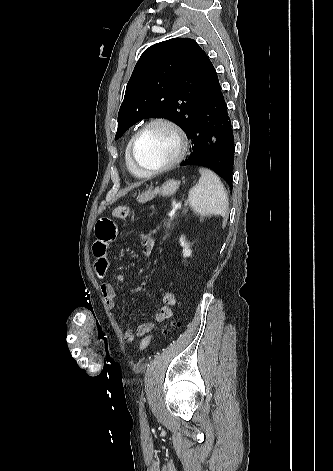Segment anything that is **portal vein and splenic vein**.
I'll return each instance as SVG.
<instances>
[{
	"label": "portal vein and splenic vein",
	"instance_id": "portal-vein-and-splenic-vein-1",
	"mask_svg": "<svg viewBox=\"0 0 333 471\" xmlns=\"http://www.w3.org/2000/svg\"><path fill=\"white\" fill-rule=\"evenodd\" d=\"M182 207V202H177L174 206V210H178Z\"/></svg>",
	"mask_w": 333,
	"mask_h": 471
}]
</instances>
